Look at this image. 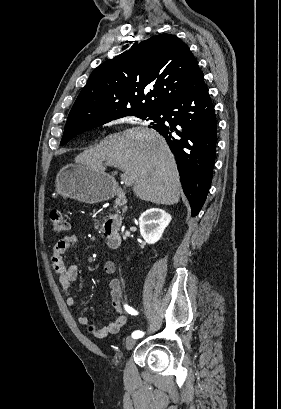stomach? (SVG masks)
Wrapping results in <instances>:
<instances>
[{
	"label": "stomach",
	"instance_id": "0dacf381",
	"mask_svg": "<svg viewBox=\"0 0 281 409\" xmlns=\"http://www.w3.org/2000/svg\"><path fill=\"white\" fill-rule=\"evenodd\" d=\"M55 186L57 194L93 205V202L113 198L116 194L117 182L109 178L108 174L78 162V164H67L59 170Z\"/></svg>",
	"mask_w": 281,
	"mask_h": 409
}]
</instances>
